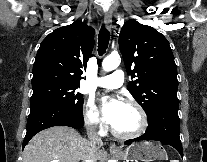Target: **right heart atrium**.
I'll return each mask as SVG.
<instances>
[{
    "mask_svg": "<svg viewBox=\"0 0 207 162\" xmlns=\"http://www.w3.org/2000/svg\"><path fill=\"white\" fill-rule=\"evenodd\" d=\"M83 117L85 124L98 132L103 130V123L97 106L92 99H89L84 107Z\"/></svg>",
    "mask_w": 207,
    "mask_h": 162,
    "instance_id": "d8ad5b80",
    "label": "right heart atrium"
}]
</instances>
